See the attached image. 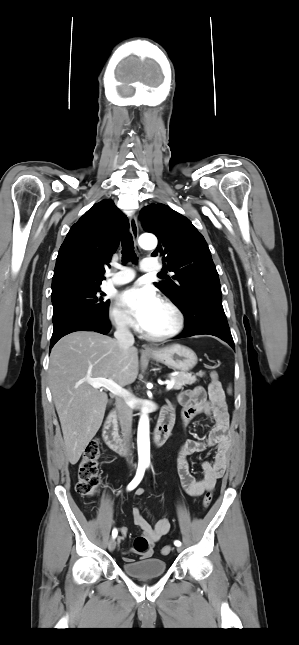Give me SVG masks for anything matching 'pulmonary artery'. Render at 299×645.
Wrapping results in <instances>:
<instances>
[{
	"label": "pulmonary artery",
	"mask_w": 299,
	"mask_h": 645,
	"mask_svg": "<svg viewBox=\"0 0 299 645\" xmlns=\"http://www.w3.org/2000/svg\"><path fill=\"white\" fill-rule=\"evenodd\" d=\"M141 269L144 272H156L161 269L160 263L151 258H146L141 263ZM135 277V272L131 268L121 267L120 270L114 273L109 279L111 285H123L132 281Z\"/></svg>",
	"instance_id": "obj_1"
}]
</instances>
